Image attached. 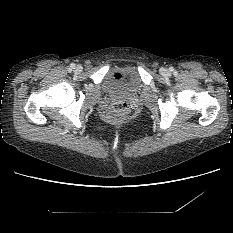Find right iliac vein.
Listing matches in <instances>:
<instances>
[{
  "label": "right iliac vein",
  "instance_id": "obj_1",
  "mask_svg": "<svg viewBox=\"0 0 233 233\" xmlns=\"http://www.w3.org/2000/svg\"><path fill=\"white\" fill-rule=\"evenodd\" d=\"M82 69H83L82 66H81V65H78V66H76L75 71H76V72H81Z\"/></svg>",
  "mask_w": 233,
  "mask_h": 233
}]
</instances>
